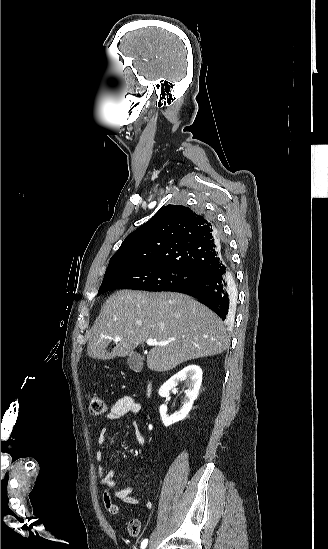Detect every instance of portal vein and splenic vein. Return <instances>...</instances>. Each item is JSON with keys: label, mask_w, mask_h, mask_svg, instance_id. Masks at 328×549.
<instances>
[{"label": "portal vein and splenic vein", "mask_w": 328, "mask_h": 549, "mask_svg": "<svg viewBox=\"0 0 328 549\" xmlns=\"http://www.w3.org/2000/svg\"><path fill=\"white\" fill-rule=\"evenodd\" d=\"M115 341H122L121 337H115ZM175 339H169V341H155V339H147L146 345L153 347V345H160V347H166L169 343H172Z\"/></svg>", "instance_id": "portal-vein-and-splenic-vein-1"}]
</instances>
